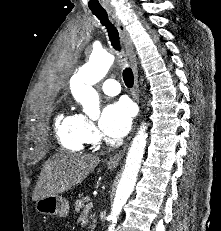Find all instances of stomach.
I'll return each mask as SVG.
<instances>
[{"instance_id":"1","label":"stomach","mask_w":221,"mask_h":231,"mask_svg":"<svg viewBox=\"0 0 221 231\" xmlns=\"http://www.w3.org/2000/svg\"><path fill=\"white\" fill-rule=\"evenodd\" d=\"M35 209L40 214L66 217L69 213V202L60 195H49L40 198L35 203Z\"/></svg>"}]
</instances>
